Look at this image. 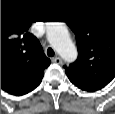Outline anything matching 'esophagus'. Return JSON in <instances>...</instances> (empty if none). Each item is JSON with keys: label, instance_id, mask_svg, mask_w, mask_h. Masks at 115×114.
Instances as JSON below:
<instances>
[{"label": "esophagus", "instance_id": "esophagus-1", "mask_svg": "<svg viewBox=\"0 0 115 114\" xmlns=\"http://www.w3.org/2000/svg\"><path fill=\"white\" fill-rule=\"evenodd\" d=\"M52 62L55 63V64H58V65L63 63V61H62V59L60 57L52 58Z\"/></svg>", "mask_w": 115, "mask_h": 114}]
</instances>
